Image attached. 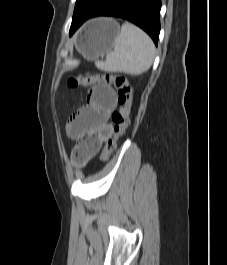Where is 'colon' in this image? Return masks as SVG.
<instances>
[{"instance_id":"colon-1","label":"colon","mask_w":227,"mask_h":265,"mask_svg":"<svg viewBox=\"0 0 227 265\" xmlns=\"http://www.w3.org/2000/svg\"><path fill=\"white\" fill-rule=\"evenodd\" d=\"M112 85L115 87L118 96L119 109L112 114L113 121V135L109 137L104 145L100 155V160L106 162L110 159L112 153L116 149L118 140L124 135L129 125V116L132 107L131 87L127 77L117 74H99V75H72L68 79V86L70 88H82L95 85ZM72 159L76 164H83L86 161L83 153L74 148L72 152Z\"/></svg>"}]
</instances>
